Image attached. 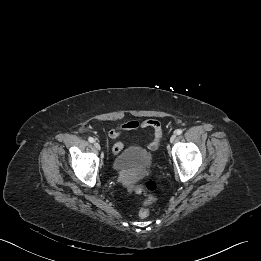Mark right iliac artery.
Segmentation results:
<instances>
[{"label":"right iliac artery","instance_id":"right-iliac-artery-1","mask_svg":"<svg viewBox=\"0 0 261 261\" xmlns=\"http://www.w3.org/2000/svg\"><path fill=\"white\" fill-rule=\"evenodd\" d=\"M88 141H89L90 143H93L95 140H94V138L89 137V138H88Z\"/></svg>","mask_w":261,"mask_h":261}]
</instances>
